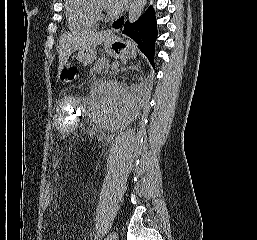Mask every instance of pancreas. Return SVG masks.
<instances>
[{
  "instance_id": "1",
  "label": "pancreas",
  "mask_w": 257,
  "mask_h": 240,
  "mask_svg": "<svg viewBox=\"0 0 257 240\" xmlns=\"http://www.w3.org/2000/svg\"><path fill=\"white\" fill-rule=\"evenodd\" d=\"M110 69V63L105 57L98 59L90 70V75L107 73Z\"/></svg>"
}]
</instances>
